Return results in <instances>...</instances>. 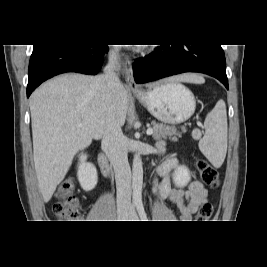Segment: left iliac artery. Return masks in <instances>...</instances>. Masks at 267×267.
I'll return each mask as SVG.
<instances>
[{"mask_svg":"<svg viewBox=\"0 0 267 267\" xmlns=\"http://www.w3.org/2000/svg\"><path fill=\"white\" fill-rule=\"evenodd\" d=\"M137 210L142 221H147V215L145 213L142 202L137 204Z\"/></svg>","mask_w":267,"mask_h":267,"instance_id":"obj_1","label":"left iliac artery"}]
</instances>
